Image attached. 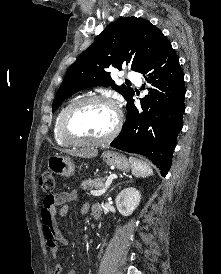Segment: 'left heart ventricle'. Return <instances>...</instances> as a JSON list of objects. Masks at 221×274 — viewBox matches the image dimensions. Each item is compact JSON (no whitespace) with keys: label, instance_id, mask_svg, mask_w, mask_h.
<instances>
[{"label":"left heart ventricle","instance_id":"b2bd125f","mask_svg":"<svg viewBox=\"0 0 221 274\" xmlns=\"http://www.w3.org/2000/svg\"><path fill=\"white\" fill-rule=\"evenodd\" d=\"M114 123V110L103 103L83 105L74 110L69 119L71 131L86 138H99L107 135Z\"/></svg>","mask_w":221,"mask_h":274}]
</instances>
